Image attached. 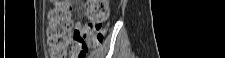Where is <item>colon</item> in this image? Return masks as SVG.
I'll return each instance as SVG.
<instances>
[{"instance_id":"colon-1","label":"colon","mask_w":225,"mask_h":58,"mask_svg":"<svg viewBox=\"0 0 225 58\" xmlns=\"http://www.w3.org/2000/svg\"><path fill=\"white\" fill-rule=\"evenodd\" d=\"M84 3L85 15L89 19L85 26L73 23L72 15L79 10L74 3L62 1L51 11L48 44L53 58H64L69 45L75 58H85L103 42L110 16L108 1Z\"/></svg>"}]
</instances>
